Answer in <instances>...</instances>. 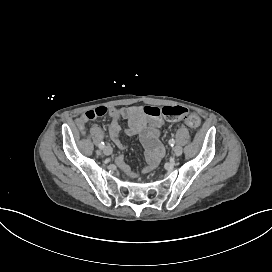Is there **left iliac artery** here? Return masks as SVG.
<instances>
[{"mask_svg": "<svg viewBox=\"0 0 272 272\" xmlns=\"http://www.w3.org/2000/svg\"><path fill=\"white\" fill-rule=\"evenodd\" d=\"M174 144H175V140H174V139H170V140H169V145H170V146H174Z\"/></svg>", "mask_w": 272, "mask_h": 272, "instance_id": "obj_1", "label": "left iliac artery"}]
</instances>
